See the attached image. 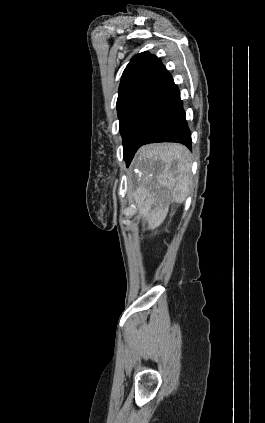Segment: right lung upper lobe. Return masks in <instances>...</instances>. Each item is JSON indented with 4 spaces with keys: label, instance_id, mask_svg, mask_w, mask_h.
<instances>
[{
    "label": "right lung upper lobe",
    "instance_id": "cb5924a9",
    "mask_svg": "<svg viewBox=\"0 0 265 423\" xmlns=\"http://www.w3.org/2000/svg\"><path fill=\"white\" fill-rule=\"evenodd\" d=\"M167 73L155 55L148 52L137 54L123 72L117 101L132 95L149 94Z\"/></svg>",
    "mask_w": 265,
    "mask_h": 423
}]
</instances>
